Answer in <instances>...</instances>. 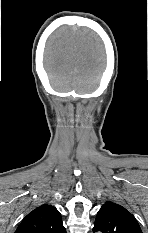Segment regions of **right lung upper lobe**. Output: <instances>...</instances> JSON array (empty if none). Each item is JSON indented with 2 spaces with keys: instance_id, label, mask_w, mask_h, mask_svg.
<instances>
[{
  "instance_id": "cb5924a9",
  "label": "right lung upper lobe",
  "mask_w": 148,
  "mask_h": 233,
  "mask_svg": "<svg viewBox=\"0 0 148 233\" xmlns=\"http://www.w3.org/2000/svg\"><path fill=\"white\" fill-rule=\"evenodd\" d=\"M15 233H66L60 212L52 205L43 204L31 211Z\"/></svg>"
}]
</instances>
